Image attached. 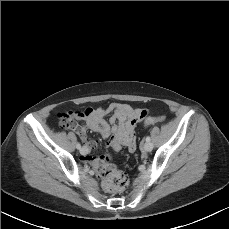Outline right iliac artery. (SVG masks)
Segmentation results:
<instances>
[{
  "mask_svg": "<svg viewBox=\"0 0 229 229\" xmlns=\"http://www.w3.org/2000/svg\"><path fill=\"white\" fill-rule=\"evenodd\" d=\"M76 148H77V149H80V148H81L80 143H77V144H76Z\"/></svg>",
  "mask_w": 229,
  "mask_h": 229,
  "instance_id": "right-iliac-artery-1",
  "label": "right iliac artery"
}]
</instances>
